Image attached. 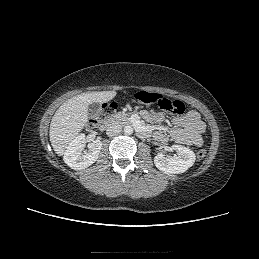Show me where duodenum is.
Returning <instances> with one entry per match:
<instances>
[{
	"label": "duodenum",
	"instance_id": "obj_1",
	"mask_svg": "<svg viewBox=\"0 0 259 259\" xmlns=\"http://www.w3.org/2000/svg\"><path fill=\"white\" fill-rule=\"evenodd\" d=\"M114 123H115L114 119L105 120V121L101 124L100 130L105 131V130L109 129L110 127H112V126L114 125ZM137 133H138V135L141 136V137H145V136L148 135V131H147L144 127H141V126H139V127L137 128Z\"/></svg>",
	"mask_w": 259,
	"mask_h": 259
}]
</instances>
